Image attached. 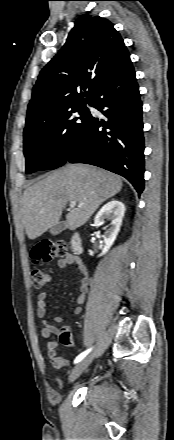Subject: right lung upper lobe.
<instances>
[{"label":"right lung upper lobe","mask_w":174,"mask_h":440,"mask_svg":"<svg viewBox=\"0 0 174 440\" xmlns=\"http://www.w3.org/2000/svg\"><path fill=\"white\" fill-rule=\"evenodd\" d=\"M129 61L124 41L109 20L81 15L62 49L39 74L24 131L89 100L105 78Z\"/></svg>","instance_id":"cb5924a9"}]
</instances>
